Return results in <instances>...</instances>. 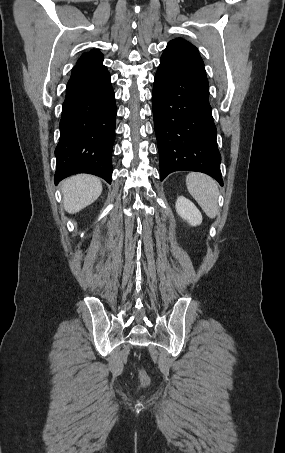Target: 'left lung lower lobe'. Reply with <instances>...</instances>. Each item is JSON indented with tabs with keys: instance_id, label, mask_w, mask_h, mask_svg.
I'll return each mask as SVG.
<instances>
[{
	"instance_id": "0a47b994",
	"label": "left lung lower lobe",
	"mask_w": 285,
	"mask_h": 453,
	"mask_svg": "<svg viewBox=\"0 0 285 453\" xmlns=\"http://www.w3.org/2000/svg\"><path fill=\"white\" fill-rule=\"evenodd\" d=\"M199 53L168 44L154 78L153 116L161 181L174 171H199L220 185L221 155Z\"/></svg>"
}]
</instances>
